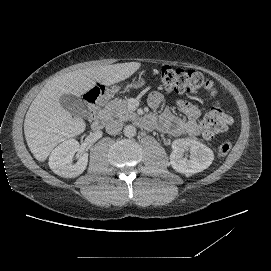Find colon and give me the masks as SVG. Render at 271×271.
<instances>
[{"label": "colon", "instance_id": "colon-1", "mask_svg": "<svg viewBox=\"0 0 271 271\" xmlns=\"http://www.w3.org/2000/svg\"><path fill=\"white\" fill-rule=\"evenodd\" d=\"M160 82L161 87L168 92L194 94L198 90L203 89L211 95L216 93L212 82L206 79L200 72L194 70L187 71L164 66L161 69ZM86 99L90 106V111H93L107 99V88L102 84H97L88 92ZM232 122V118L219 104H216L201 120L200 130L205 138L211 139L226 131ZM231 147L230 141L222 142L218 146V155L221 157L226 156L230 152Z\"/></svg>", "mask_w": 271, "mask_h": 271}]
</instances>
